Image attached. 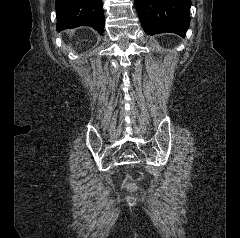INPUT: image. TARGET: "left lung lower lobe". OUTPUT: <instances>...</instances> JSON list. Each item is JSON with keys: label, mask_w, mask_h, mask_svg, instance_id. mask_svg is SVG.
Instances as JSON below:
<instances>
[{"label": "left lung lower lobe", "mask_w": 240, "mask_h": 238, "mask_svg": "<svg viewBox=\"0 0 240 238\" xmlns=\"http://www.w3.org/2000/svg\"><path fill=\"white\" fill-rule=\"evenodd\" d=\"M146 34L176 33L182 37L190 23L191 0H135Z\"/></svg>", "instance_id": "left-lung-lower-lobe-1"}]
</instances>
